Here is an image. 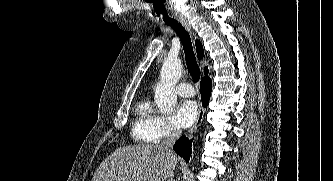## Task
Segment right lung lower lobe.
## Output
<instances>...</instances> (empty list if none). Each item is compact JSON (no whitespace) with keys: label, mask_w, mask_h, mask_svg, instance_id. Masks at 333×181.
<instances>
[{"label":"right lung lower lobe","mask_w":333,"mask_h":181,"mask_svg":"<svg viewBox=\"0 0 333 181\" xmlns=\"http://www.w3.org/2000/svg\"><path fill=\"white\" fill-rule=\"evenodd\" d=\"M212 89V82L209 77H204L200 84V91L202 95L203 106H207L209 103L210 95ZM192 139L189 140L182 136L173 146L174 151L181 157H183L187 162L190 159L191 154Z\"/></svg>","instance_id":"98d812e1"}]
</instances>
